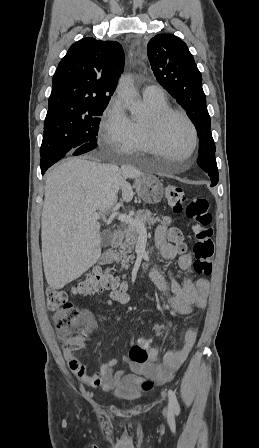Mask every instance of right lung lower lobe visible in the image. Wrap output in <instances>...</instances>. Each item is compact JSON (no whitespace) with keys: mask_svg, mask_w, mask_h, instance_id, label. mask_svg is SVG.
<instances>
[{"mask_svg":"<svg viewBox=\"0 0 259 448\" xmlns=\"http://www.w3.org/2000/svg\"><path fill=\"white\" fill-rule=\"evenodd\" d=\"M66 155L67 154H57L41 157V163H40L41 173L44 174L49 167H51L54 163H56Z\"/></svg>","mask_w":259,"mask_h":448,"instance_id":"1","label":"right lung lower lobe"}]
</instances>
